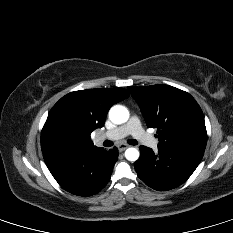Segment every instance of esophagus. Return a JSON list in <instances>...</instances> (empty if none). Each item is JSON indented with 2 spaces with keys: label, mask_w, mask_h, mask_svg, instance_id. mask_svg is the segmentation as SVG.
Listing matches in <instances>:
<instances>
[{
  "label": "esophagus",
  "mask_w": 233,
  "mask_h": 233,
  "mask_svg": "<svg viewBox=\"0 0 233 233\" xmlns=\"http://www.w3.org/2000/svg\"><path fill=\"white\" fill-rule=\"evenodd\" d=\"M129 146L125 143H122L120 145H118V149L120 152L124 151L125 149H127Z\"/></svg>",
  "instance_id": "1"
}]
</instances>
